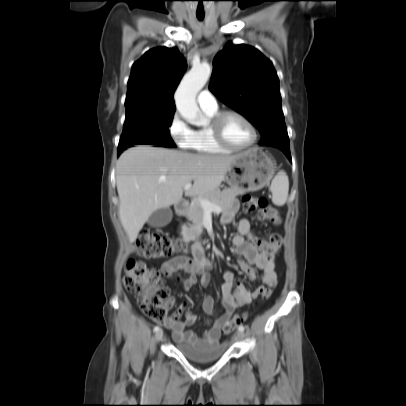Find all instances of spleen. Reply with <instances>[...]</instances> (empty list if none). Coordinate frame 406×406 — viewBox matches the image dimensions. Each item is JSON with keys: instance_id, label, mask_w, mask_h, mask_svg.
Segmentation results:
<instances>
[{"instance_id": "3e777b00", "label": "spleen", "mask_w": 406, "mask_h": 406, "mask_svg": "<svg viewBox=\"0 0 406 406\" xmlns=\"http://www.w3.org/2000/svg\"><path fill=\"white\" fill-rule=\"evenodd\" d=\"M270 191L272 193V202L275 205L285 204L289 192V180L285 171L281 170L271 182Z\"/></svg>"}]
</instances>
